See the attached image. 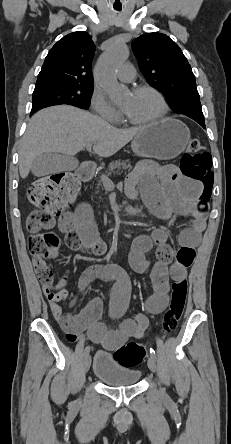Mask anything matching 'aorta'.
Returning <instances> with one entry per match:
<instances>
[{
  "label": "aorta",
  "instance_id": "762f6f07",
  "mask_svg": "<svg viewBox=\"0 0 231 444\" xmlns=\"http://www.w3.org/2000/svg\"><path fill=\"white\" fill-rule=\"evenodd\" d=\"M128 55L127 45L117 42L97 62L100 84L112 101L121 99L127 92V88L118 83L115 77V70L126 61Z\"/></svg>",
  "mask_w": 231,
  "mask_h": 444
}]
</instances>
